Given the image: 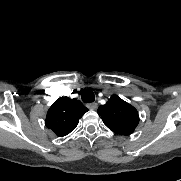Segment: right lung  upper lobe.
<instances>
[{"mask_svg":"<svg viewBox=\"0 0 181 181\" xmlns=\"http://www.w3.org/2000/svg\"><path fill=\"white\" fill-rule=\"evenodd\" d=\"M88 109L77 99L60 97L49 108L45 125L58 137L69 134Z\"/></svg>","mask_w":181,"mask_h":181,"instance_id":"cb5924a9","label":"right lung upper lobe"}]
</instances>
